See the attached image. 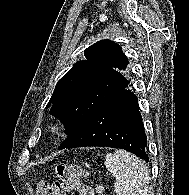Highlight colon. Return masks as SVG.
Wrapping results in <instances>:
<instances>
[{
	"instance_id": "5ec220e1",
	"label": "colon",
	"mask_w": 189,
	"mask_h": 195,
	"mask_svg": "<svg viewBox=\"0 0 189 195\" xmlns=\"http://www.w3.org/2000/svg\"><path fill=\"white\" fill-rule=\"evenodd\" d=\"M58 181L50 183L47 180H41L38 184L40 195H82L83 184L82 177L85 171L78 166L70 163H60L56 167ZM98 193L103 192L102 187H98Z\"/></svg>"
}]
</instances>
